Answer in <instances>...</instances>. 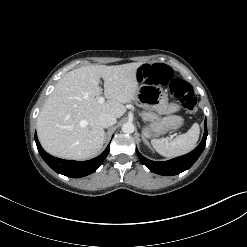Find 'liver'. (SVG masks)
I'll use <instances>...</instances> for the list:
<instances>
[{"label":"liver","instance_id":"6515ba94","mask_svg":"<svg viewBox=\"0 0 247 247\" xmlns=\"http://www.w3.org/2000/svg\"><path fill=\"white\" fill-rule=\"evenodd\" d=\"M142 63L89 65L68 72L57 83L37 118V134L42 147L60 158L85 160L102 148L105 132L101 114L116 118L126 113L124 104L137 98V69ZM105 103H98L103 94Z\"/></svg>","mask_w":247,"mask_h":247}]
</instances>
